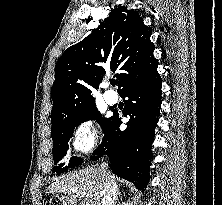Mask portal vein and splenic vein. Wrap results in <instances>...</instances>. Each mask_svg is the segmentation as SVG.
<instances>
[{
    "label": "portal vein and splenic vein",
    "mask_w": 222,
    "mask_h": 205,
    "mask_svg": "<svg viewBox=\"0 0 222 205\" xmlns=\"http://www.w3.org/2000/svg\"><path fill=\"white\" fill-rule=\"evenodd\" d=\"M80 195H81V196H84V193H81ZM83 205H85V204H83Z\"/></svg>",
    "instance_id": "1"
}]
</instances>
